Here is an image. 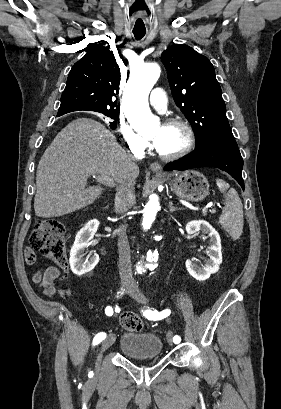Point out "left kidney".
<instances>
[{"label": "left kidney", "mask_w": 281, "mask_h": 409, "mask_svg": "<svg viewBox=\"0 0 281 409\" xmlns=\"http://www.w3.org/2000/svg\"><path fill=\"white\" fill-rule=\"evenodd\" d=\"M186 231L188 235H194V233H200L201 231V233H207L208 237H210V247H208L209 251H207L210 259H207L204 267H198L192 261H186L185 263L191 277H194L196 281H206L210 275L219 271V265L222 263L221 239L217 231L207 221H190L186 225Z\"/></svg>", "instance_id": "1"}]
</instances>
